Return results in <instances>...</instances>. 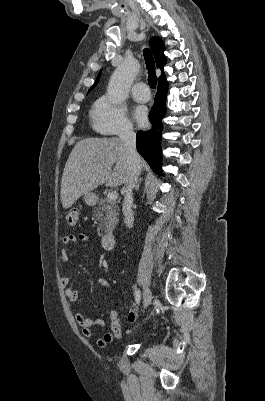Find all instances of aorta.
I'll return each mask as SVG.
<instances>
[{"instance_id":"762f6f07","label":"aorta","mask_w":265,"mask_h":401,"mask_svg":"<svg viewBox=\"0 0 265 401\" xmlns=\"http://www.w3.org/2000/svg\"><path fill=\"white\" fill-rule=\"evenodd\" d=\"M140 62L136 58H125L123 64L114 70L107 86V94L114 104H120L128 96L129 86L132 84Z\"/></svg>"}]
</instances>
